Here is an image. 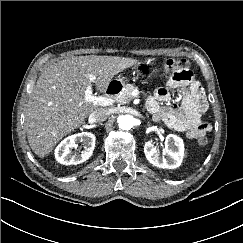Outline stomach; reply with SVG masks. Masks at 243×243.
I'll return each mask as SVG.
<instances>
[{
	"instance_id": "obj_1",
	"label": "stomach",
	"mask_w": 243,
	"mask_h": 243,
	"mask_svg": "<svg viewBox=\"0 0 243 243\" xmlns=\"http://www.w3.org/2000/svg\"><path fill=\"white\" fill-rule=\"evenodd\" d=\"M148 63H143V64H139V65H135V69H137V71H139L138 69H142L144 70L146 67H147ZM118 82L121 84V85H124L126 82H127V79L124 78V77H119L118 78Z\"/></svg>"
}]
</instances>
